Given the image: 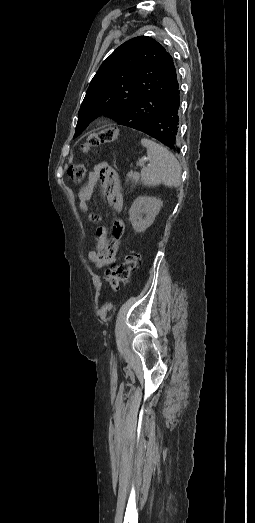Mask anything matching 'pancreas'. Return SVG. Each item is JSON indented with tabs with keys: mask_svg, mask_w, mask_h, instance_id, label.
I'll list each match as a JSON object with an SVG mask.
<instances>
[{
	"mask_svg": "<svg viewBox=\"0 0 255 523\" xmlns=\"http://www.w3.org/2000/svg\"><path fill=\"white\" fill-rule=\"evenodd\" d=\"M129 180H132L133 184H137L139 180L137 172H134V174H131L130 172V174H128L127 182H129Z\"/></svg>",
	"mask_w": 255,
	"mask_h": 523,
	"instance_id": "pancreas-1",
	"label": "pancreas"
}]
</instances>
